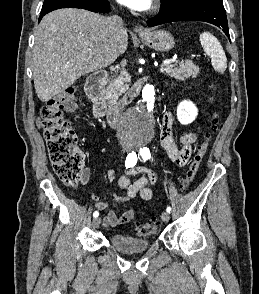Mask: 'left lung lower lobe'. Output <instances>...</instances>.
<instances>
[{"mask_svg": "<svg viewBox=\"0 0 259 294\" xmlns=\"http://www.w3.org/2000/svg\"><path fill=\"white\" fill-rule=\"evenodd\" d=\"M183 20L204 21L214 24L221 28L230 39L226 11L223 3L216 0H198L174 10L159 13L155 17L149 19L147 25L153 27L164 23Z\"/></svg>", "mask_w": 259, "mask_h": 294, "instance_id": "left-lung-lower-lobe-1", "label": "left lung lower lobe"}]
</instances>
